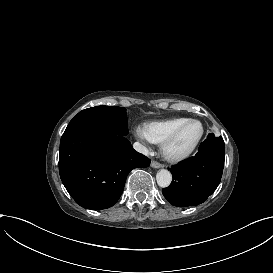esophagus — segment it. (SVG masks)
Listing matches in <instances>:
<instances>
[{
  "instance_id": "34e87169",
  "label": "esophagus",
  "mask_w": 273,
  "mask_h": 273,
  "mask_svg": "<svg viewBox=\"0 0 273 273\" xmlns=\"http://www.w3.org/2000/svg\"><path fill=\"white\" fill-rule=\"evenodd\" d=\"M163 166V164L157 162V161H152L151 163V167L153 168H161Z\"/></svg>"
}]
</instances>
